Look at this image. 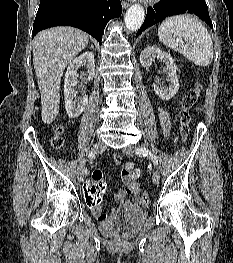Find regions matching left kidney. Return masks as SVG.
Segmentation results:
<instances>
[{"mask_svg": "<svg viewBox=\"0 0 233 263\" xmlns=\"http://www.w3.org/2000/svg\"><path fill=\"white\" fill-rule=\"evenodd\" d=\"M163 60L165 63L164 72L167 74L169 86L160 83H154L153 88L155 93L164 101H168L175 96L179 90V81L177 77V67L173 58L167 52L160 50L156 46H148L140 55V63L143 67L148 68L152 65L155 59Z\"/></svg>", "mask_w": 233, "mask_h": 263, "instance_id": "left-kidney-1", "label": "left kidney"}]
</instances>
